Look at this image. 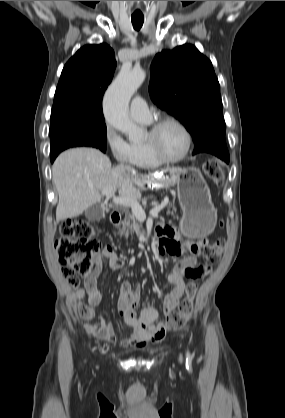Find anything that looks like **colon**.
<instances>
[{
	"mask_svg": "<svg viewBox=\"0 0 285 418\" xmlns=\"http://www.w3.org/2000/svg\"><path fill=\"white\" fill-rule=\"evenodd\" d=\"M208 177L214 182H221L224 172L214 160H208L204 165ZM56 249L59 263L64 275L72 286L78 287L91 271L90 257L100 250L99 242L94 238V229L87 222L74 219L62 223L60 235L56 239ZM225 250V240L218 238L204 249V257L210 261L219 259ZM164 251L160 250V254ZM197 291L196 280H192L187 288V294L179 309L168 314L165 325H158L160 334L167 331H178L187 322L194 308V298Z\"/></svg>",
	"mask_w": 285,
	"mask_h": 418,
	"instance_id": "colon-1",
	"label": "colon"
}]
</instances>
